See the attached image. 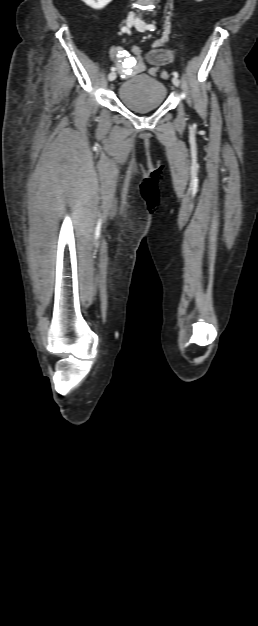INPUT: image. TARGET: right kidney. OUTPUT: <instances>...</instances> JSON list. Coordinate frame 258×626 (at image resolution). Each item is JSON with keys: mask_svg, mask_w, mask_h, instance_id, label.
Instances as JSON below:
<instances>
[{"mask_svg": "<svg viewBox=\"0 0 258 626\" xmlns=\"http://www.w3.org/2000/svg\"><path fill=\"white\" fill-rule=\"evenodd\" d=\"M86 5L95 10H100L109 4L112 0H82Z\"/></svg>", "mask_w": 258, "mask_h": 626, "instance_id": "1", "label": "right kidney"}]
</instances>
